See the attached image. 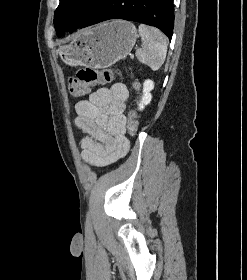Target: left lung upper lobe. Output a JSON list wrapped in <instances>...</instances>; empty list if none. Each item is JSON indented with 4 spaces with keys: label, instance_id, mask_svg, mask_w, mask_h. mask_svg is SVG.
Here are the masks:
<instances>
[{
    "label": "left lung upper lobe",
    "instance_id": "5c2ea615",
    "mask_svg": "<svg viewBox=\"0 0 247 280\" xmlns=\"http://www.w3.org/2000/svg\"><path fill=\"white\" fill-rule=\"evenodd\" d=\"M104 0H60L54 14V25L60 37L65 31L77 29L90 12Z\"/></svg>",
    "mask_w": 247,
    "mask_h": 280
}]
</instances>
